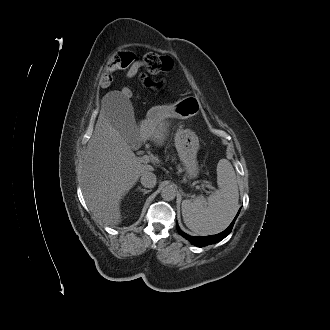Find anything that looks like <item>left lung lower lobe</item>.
Here are the masks:
<instances>
[{
	"label": "left lung lower lobe",
	"mask_w": 330,
	"mask_h": 330,
	"mask_svg": "<svg viewBox=\"0 0 330 330\" xmlns=\"http://www.w3.org/2000/svg\"><path fill=\"white\" fill-rule=\"evenodd\" d=\"M238 214H239V212L237 213L236 217L234 218V220L232 221V223L229 225V227L226 230H224L223 232L216 234V235L192 237V236L187 235L183 231H181V229L179 228L177 223H176V227H177L179 234L181 236H183L184 238H186L188 241H190L193 245H195L197 247H203V246H207L209 244L217 243V242L221 241L222 239H224L226 236H228L230 234V232L232 231L233 225L235 223V220H236Z\"/></svg>",
	"instance_id": "obj_1"
}]
</instances>
